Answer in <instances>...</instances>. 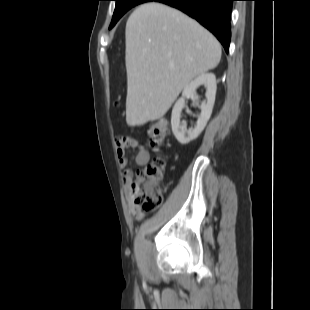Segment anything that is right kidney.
Masks as SVG:
<instances>
[{"label":"right kidney","mask_w":310,"mask_h":310,"mask_svg":"<svg viewBox=\"0 0 310 310\" xmlns=\"http://www.w3.org/2000/svg\"><path fill=\"white\" fill-rule=\"evenodd\" d=\"M200 85H206V99L202 102L200 109L201 114L198 117L197 124L194 128L187 129L186 125L180 123V116L182 109L185 107L186 99L199 100L196 94V89ZM216 77L213 73H203L192 80L183 90L182 96L176 101L171 115V128L172 132L180 144H188L196 139L205 128L208 120L210 119L212 109L215 102L216 95Z\"/></svg>","instance_id":"ca27d5eb"}]
</instances>
